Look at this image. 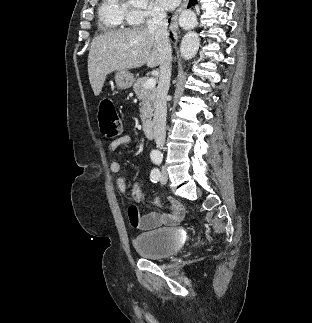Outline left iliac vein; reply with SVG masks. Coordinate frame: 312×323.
Masks as SVG:
<instances>
[{
  "mask_svg": "<svg viewBox=\"0 0 312 323\" xmlns=\"http://www.w3.org/2000/svg\"><path fill=\"white\" fill-rule=\"evenodd\" d=\"M159 180L162 183H166L167 182V171H166V167L165 166L162 168V172H161V175L159 177Z\"/></svg>",
  "mask_w": 312,
  "mask_h": 323,
  "instance_id": "4c4485c4",
  "label": "left iliac vein"
}]
</instances>
